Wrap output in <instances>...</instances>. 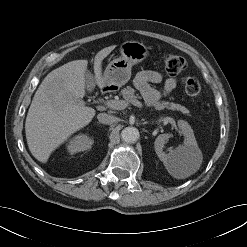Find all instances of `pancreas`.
Wrapping results in <instances>:
<instances>
[{"instance_id": "1", "label": "pancreas", "mask_w": 247, "mask_h": 247, "mask_svg": "<svg viewBox=\"0 0 247 247\" xmlns=\"http://www.w3.org/2000/svg\"><path fill=\"white\" fill-rule=\"evenodd\" d=\"M121 95L123 96V98L125 99L126 102H129V103H133V102H136L137 101V98L138 96L135 95V90L130 87V86H127L126 88L122 89L121 90ZM154 106L157 108V109H169V110H178V111H181L182 113L184 114H187L189 113V111L179 105V104H175V103H169V102H156L154 104Z\"/></svg>"}]
</instances>
